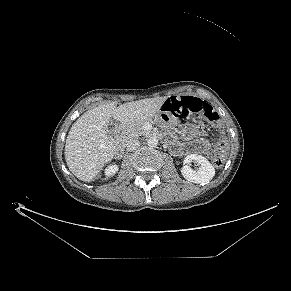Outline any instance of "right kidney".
<instances>
[{
    "instance_id": "obj_1",
    "label": "right kidney",
    "mask_w": 291,
    "mask_h": 291,
    "mask_svg": "<svg viewBox=\"0 0 291 291\" xmlns=\"http://www.w3.org/2000/svg\"><path fill=\"white\" fill-rule=\"evenodd\" d=\"M119 167L116 164H111L105 169V176L106 178L112 177L118 171Z\"/></svg>"
}]
</instances>
